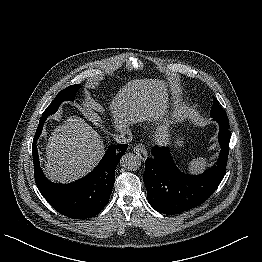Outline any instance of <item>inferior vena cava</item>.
<instances>
[{"mask_svg":"<svg viewBox=\"0 0 262 262\" xmlns=\"http://www.w3.org/2000/svg\"><path fill=\"white\" fill-rule=\"evenodd\" d=\"M128 135V138L125 136ZM114 139L118 143H129L132 140V134L130 130H124L120 134H114Z\"/></svg>","mask_w":262,"mask_h":262,"instance_id":"inferior-vena-cava-1","label":"inferior vena cava"}]
</instances>
